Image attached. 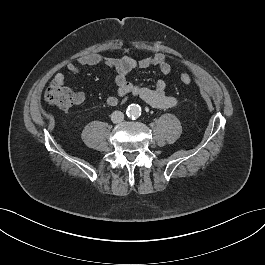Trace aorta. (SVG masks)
Wrapping results in <instances>:
<instances>
[{"mask_svg": "<svg viewBox=\"0 0 265 265\" xmlns=\"http://www.w3.org/2000/svg\"><path fill=\"white\" fill-rule=\"evenodd\" d=\"M126 115L132 119L138 118L141 115V107L137 104H130L127 107Z\"/></svg>", "mask_w": 265, "mask_h": 265, "instance_id": "aorta-1", "label": "aorta"}]
</instances>
